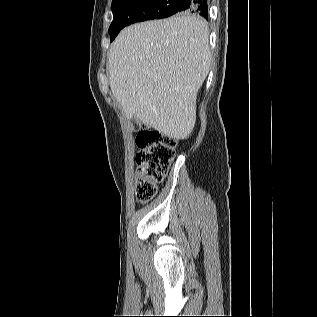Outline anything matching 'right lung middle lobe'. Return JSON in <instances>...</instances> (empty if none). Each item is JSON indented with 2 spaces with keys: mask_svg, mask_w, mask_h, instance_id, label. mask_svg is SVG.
I'll use <instances>...</instances> for the list:
<instances>
[{
  "mask_svg": "<svg viewBox=\"0 0 317 317\" xmlns=\"http://www.w3.org/2000/svg\"><path fill=\"white\" fill-rule=\"evenodd\" d=\"M177 0H113V21L109 28L110 40L113 41L118 33L135 22L161 19L178 13L175 4ZM193 13L180 12L179 15L189 16Z\"/></svg>",
  "mask_w": 317,
  "mask_h": 317,
  "instance_id": "right-lung-middle-lobe-1",
  "label": "right lung middle lobe"
}]
</instances>
